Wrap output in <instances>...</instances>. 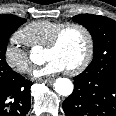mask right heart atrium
<instances>
[{
  "mask_svg": "<svg viewBox=\"0 0 116 116\" xmlns=\"http://www.w3.org/2000/svg\"><path fill=\"white\" fill-rule=\"evenodd\" d=\"M23 44L22 38L16 33L12 36L3 52L6 65L19 74L29 73L33 68V64Z\"/></svg>",
  "mask_w": 116,
  "mask_h": 116,
  "instance_id": "right-heart-atrium-1",
  "label": "right heart atrium"
}]
</instances>
